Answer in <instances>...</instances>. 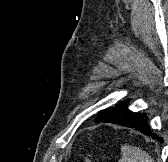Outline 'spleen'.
<instances>
[{
    "mask_svg": "<svg viewBox=\"0 0 168 162\" xmlns=\"http://www.w3.org/2000/svg\"><path fill=\"white\" fill-rule=\"evenodd\" d=\"M122 156L118 162H154L150 155L139 147L124 144L121 146Z\"/></svg>",
    "mask_w": 168,
    "mask_h": 162,
    "instance_id": "1",
    "label": "spleen"
}]
</instances>
